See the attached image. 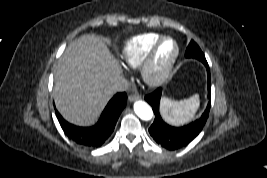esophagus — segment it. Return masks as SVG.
I'll list each match as a JSON object with an SVG mask.
<instances>
[{"mask_svg":"<svg viewBox=\"0 0 267 178\" xmlns=\"http://www.w3.org/2000/svg\"><path fill=\"white\" fill-rule=\"evenodd\" d=\"M139 99H141V96L139 94H131L128 96V100L130 102H134V101L139 100Z\"/></svg>","mask_w":267,"mask_h":178,"instance_id":"1","label":"esophagus"}]
</instances>
